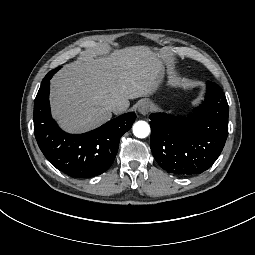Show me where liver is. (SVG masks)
<instances>
[{
	"mask_svg": "<svg viewBox=\"0 0 255 255\" xmlns=\"http://www.w3.org/2000/svg\"><path fill=\"white\" fill-rule=\"evenodd\" d=\"M162 70L146 47H130L109 58H81L52 81L54 115L71 132L94 128L112 117L113 101L125 110L128 100L157 93Z\"/></svg>",
	"mask_w": 255,
	"mask_h": 255,
	"instance_id": "obj_1",
	"label": "liver"
}]
</instances>
